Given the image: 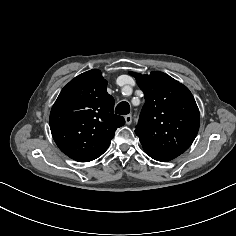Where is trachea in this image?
I'll use <instances>...</instances> for the list:
<instances>
[{"mask_svg": "<svg viewBox=\"0 0 236 236\" xmlns=\"http://www.w3.org/2000/svg\"><path fill=\"white\" fill-rule=\"evenodd\" d=\"M115 113L119 115H127L130 113V105L128 102H120L115 109Z\"/></svg>", "mask_w": 236, "mask_h": 236, "instance_id": "obj_1", "label": "trachea"}]
</instances>
